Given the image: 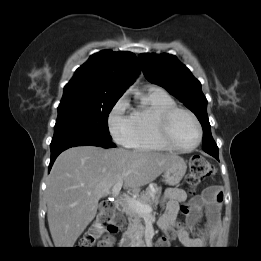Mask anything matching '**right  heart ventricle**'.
I'll use <instances>...</instances> for the list:
<instances>
[{
  "mask_svg": "<svg viewBox=\"0 0 261 261\" xmlns=\"http://www.w3.org/2000/svg\"><path fill=\"white\" fill-rule=\"evenodd\" d=\"M173 106L176 103L167 92L148 89L142 98V106L131 113L134 134L128 146L142 151H169L170 148L159 137L157 118Z\"/></svg>",
  "mask_w": 261,
  "mask_h": 261,
  "instance_id": "obj_1",
  "label": "right heart ventricle"
}]
</instances>
